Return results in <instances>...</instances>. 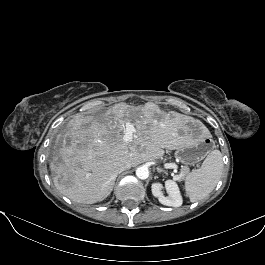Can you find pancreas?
Listing matches in <instances>:
<instances>
[{
  "mask_svg": "<svg viewBox=\"0 0 265 265\" xmlns=\"http://www.w3.org/2000/svg\"><path fill=\"white\" fill-rule=\"evenodd\" d=\"M188 172L186 168L182 169L180 174L178 175L179 179H183L184 175Z\"/></svg>",
  "mask_w": 265,
  "mask_h": 265,
  "instance_id": "pancreas-1",
  "label": "pancreas"
}]
</instances>
